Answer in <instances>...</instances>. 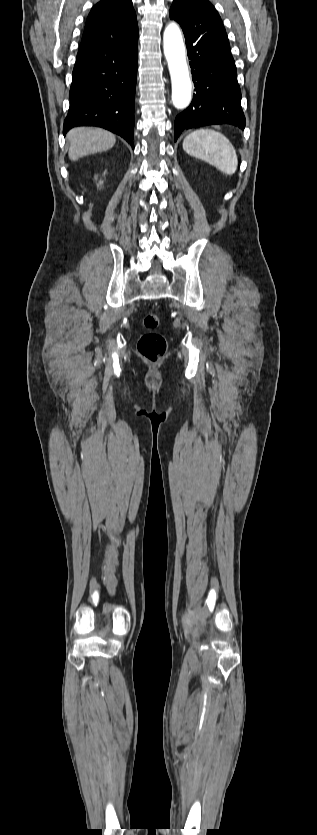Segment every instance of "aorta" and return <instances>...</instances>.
Instances as JSON below:
<instances>
[{
  "label": "aorta",
  "mask_w": 317,
  "mask_h": 835,
  "mask_svg": "<svg viewBox=\"0 0 317 835\" xmlns=\"http://www.w3.org/2000/svg\"><path fill=\"white\" fill-rule=\"evenodd\" d=\"M163 49L171 77L173 105L176 109H185L191 103L192 83L182 34L175 22L164 30Z\"/></svg>",
  "instance_id": "1"
}]
</instances>
